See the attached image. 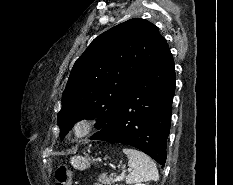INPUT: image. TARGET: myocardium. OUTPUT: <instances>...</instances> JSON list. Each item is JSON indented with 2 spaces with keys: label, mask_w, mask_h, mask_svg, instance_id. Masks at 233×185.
Instances as JSON below:
<instances>
[{
  "label": "myocardium",
  "mask_w": 233,
  "mask_h": 185,
  "mask_svg": "<svg viewBox=\"0 0 233 185\" xmlns=\"http://www.w3.org/2000/svg\"><path fill=\"white\" fill-rule=\"evenodd\" d=\"M94 126L93 118L89 116L79 117L72 123L70 133L76 139H83L91 134Z\"/></svg>",
  "instance_id": "myocardium-1"
}]
</instances>
